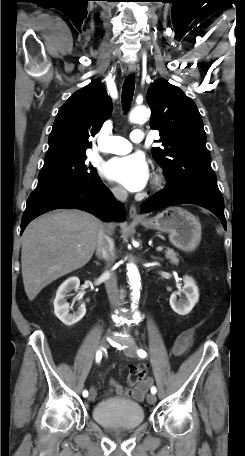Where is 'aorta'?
I'll list each match as a JSON object with an SVG mask.
<instances>
[{
	"label": "aorta",
	"instance_id": "762f6f07",
	"mask_svg": "<svg viewBox=\"0 0 245 456\" xmlns=\"http://www.w3.org/2000/svg\"><path fill=\"white\" fill-rule=\"evenodd\" d=\"M150 116V110L144 106L136 107L130 113V121L138 123ZM127 276L129 280L130 289H132L131 299H132V309L137 307L139 298H140V274L135 264H127Z\"/></svg>",
	"mask_w": 245,
	"mask_h": 456
}]
</instances>
